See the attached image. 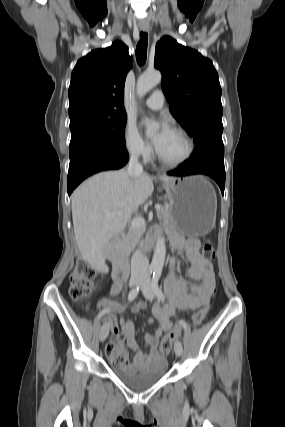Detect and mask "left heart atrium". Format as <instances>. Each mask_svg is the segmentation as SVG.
<instances>
[{"mask_svg": "<svg viewBox=\"0 0 285 427\" xmlns=\"http://www.w3.org/2000/svg\"><path fill=\"white\" fill-rule=\"evenodd\" d=\"M170 128L166 124H162L161 130L159 133L153 138L152 142L156 149L159 148L165 136L169 133Z\"/></svg>", "mask_w": 285, "mask_h": 427, "instance_id": "39dd6f15", "label": "left heart atrium"}]
</instances>
